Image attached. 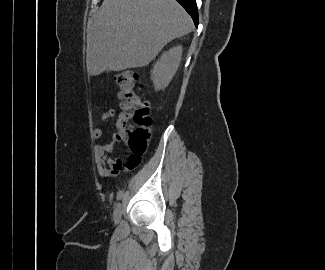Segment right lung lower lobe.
Wrapping results in <instances>:
<instances>
[{
	"label": "right lung lower lobe",
	"mask_w": 325,
	"mask_h": 270,
	"mask_svg": "<svg viewBox=\"0 0 325 270\" xmlns=\"http://www.w3.org/2000/svg\"><path fill=\"white\" fill-rule=\"evenodd\" d=\"M192 17L195 25H198V12L195 0H177Z\"/></svg>",
	"instance_id": "98d812e1"
}]
</instances>
